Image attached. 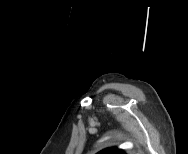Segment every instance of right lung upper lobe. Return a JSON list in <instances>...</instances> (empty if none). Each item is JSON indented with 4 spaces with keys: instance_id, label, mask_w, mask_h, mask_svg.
Segmentation results:
<instances>
[{
    "instance_id": "obj_1",
    "label": "right lung upper lobe",
    "mask_w": 188,
    "mask_h": 154,
    "mask_svg": "<svg viewBox=\"0 0 188 154\" xmlns=\"http://www.w3.org/2000/svg\"><path fill=\"white\" fill-rule=\"evenodd\" d=\"M98 154H124V153L122 152V150L116 148H109L99 152Z\"/></svg>"
}]
</instances>
